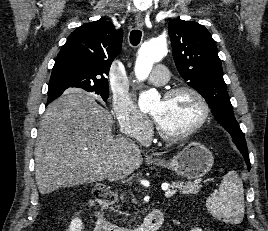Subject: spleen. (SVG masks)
Masks as SVG:
<instances>
[{"mask_svg": "<svg viewBox=\"0 0 268 231\" xmlns=\"http://www.w3.org/2000/svg\"><path fill=\"white\" fill-rule=\"evenodd\" d=\"M208 211L225 222L240 224L244 217L243 183L235 171L228 172L219 186V192L206 201Z\"/></svg>", "mask_w": 268, "mask_h": 231, "instance_id": "obj_1", "label": "spleen"}]
</instances>
